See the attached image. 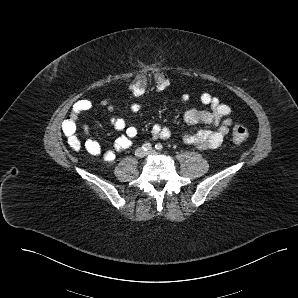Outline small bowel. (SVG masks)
<instances>
[{"instance_id": "obj_1", "label": "small bowel", "mask_w": 298, "mask_h": 298, "mask_svg": "<svg viewBox=\"0 0 298 298\" xmlns=\"http://www.w3.org/2000/svg\"><path fill=\"white\" fill-rule=\"evenodd\" d=\"M179 99L181 102L186 103L190 100V96L187 93H182ZM200 101L208 106L209 110L189 109L184 113V121L190 125L203 123L210 127L200 129L194 133H184L182 134V140L184 143L202 150L218 148L223 143L232 125L231 108L207 92L200 95ZM102 104L113 114L110 118L112 127L118 131H124V134L115 140L113 148L109 150L103 149L98 141L91 138L85 140L84 147L89 154L101 157L106 162H113L118 152L131 146L132 139L136 137L138 130L134 126H127L123 118L115 115L116 107L111 104L109 99L103 100ZM143 106L142 103H132L130 111L138 113ZM92 107L91 100L80 99L73 104L70 116L77 119L81 113L89 111ZM151 135L156 139H168L171 136V131L167 127L154 124L151 128Z\"/></svg>"}]
</instances>
